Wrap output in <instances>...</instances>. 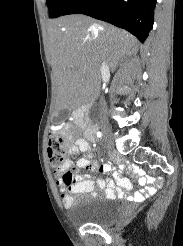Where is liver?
I'll return each mask as SVG.
<instances>
[{
	"instance_id": "1",
	"label": "liver",
	"mask_w": 183,
	"mask_h": 246,
	"mask_svg": "<svg viewBox=\"0 0 183 246\" xmlns=\"http://www.w3.org/2000/svg\"><path fill=\"white\" fill-rule=\"evenodd\" d=\"M138 40L125 30L84 15L53 20L48 26V49L57 109H74L98 86L100 68L107 60L111 71L125 55L138 51Z\"/></svg>"
}]
</instances>
